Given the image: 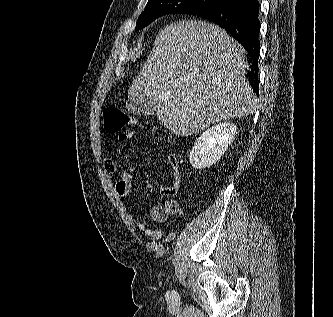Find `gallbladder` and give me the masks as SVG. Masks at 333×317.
<instances>
[{
	"label": "gallbladder",
	"instance_id": "bac80fb5",
	"mask_svg": "<svg viewBox=\"0 0 333 317\" xmlns=\"http://www.w3.org/2000/svg\"><path fill=\"white\" fill-rule=\"evenodd\" d=\"M157 105L158 102L155 98H145V97L138 99H129L126 102V107L128 111L138 116L155 114Z\"/></svg>",
	"mask_w": 333,
	"mask_h": 317
}]
</instances>
